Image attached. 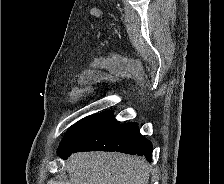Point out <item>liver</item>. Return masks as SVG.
Wrapping results in <instances>:
<instances>
[{
  "label": "liver",
  "mask_w": 224,
  "mask_h": 184,
  "mask_svg": "<svg viewBox=\"0 0 224 184\" xmlns=\"http://www.w3.org/2000/svg\"><path fill=\"white\" fill-rule=\"evenodd\" d=\"M66 166L72 184H148L149 180L147 162L122 153H76Z\"/></svg>",
  "instance_id": "1"
}]
</instances>
